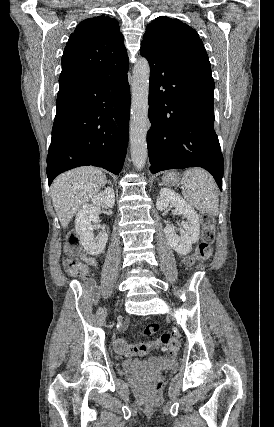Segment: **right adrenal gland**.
<instances>
[{
	"label": "right adrenal gland",
	"mask_w": 274,
	"mask_h": 427,
	"mask_svg": "<svg viewBox=\"0 0 274 427\" xmlns=\"http://www.w3.org/2000/svg\"><path fill=\"white\" fill-rule=\"evenodd\" d=\"M106 182H108L109 186H111V182H110V180H106Z\"/></svg>",
	"instance_id": "1"
}]
</instances>
